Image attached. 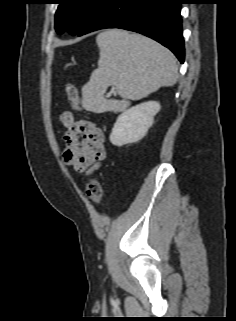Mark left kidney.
Returning a JSON list of instances; mask_svg holds the SVG:
<instances>
[{
	"label": "left kidney",
	"mask_w": 236,
	"mask_h": 321,
	"mask_svg": "<svg viewBox=\"0 0 236 321\" xmlns=\"http://www.w3.org/2000/svg\"><path fill=\"white\" fill-rule=\"evenodd\" d=\"M161 106L156 101L138 104L120 114L110 135L113 145L123 146L140 141L153 125Z\"/></svg>",
	"instance_id": "5707ae66"
}]
</instances>
